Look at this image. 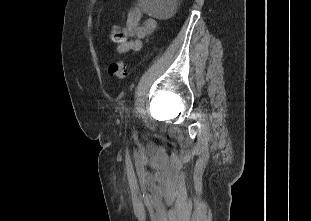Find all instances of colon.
Returning a JSON list of instances; mask_svg holds the SVG:
<instances>
[{"instance_id": "obj_1", "label": "colon", "mask_w": 311, "mask_h": 221, "mask_svg": "<svg viewBox=\"0 0 311 221\" xmlns=\"http://www.w3.org/2000/svg\"><path fill=\"white\" fill-rule=\"evenodd\" d=\"M111 38L115 42H124L126 37L125 35L113 27L111 29ZM108 73L110 76L114 77L117 80H124L127 78L128 71L127 67L125 66L124 62L121 60H113L109 63L108 66Z\"/></svg>"}]
</instances>
